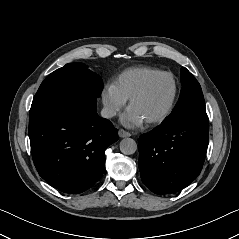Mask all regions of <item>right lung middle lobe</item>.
Wrapping results in <instances>:
<instances>
[{"label":"right lung middle lobe","instance_id":"obj_1","mask_svg":"<svg viewBox=\"0 0 239 239\" xmlns=\"http://www.w3.org/2000/svg\"><path fill=\"white\" fill-rule=\"evenodd\" d=\"M103 89L99 75L82 63H69L51 73L40 85L34 96L31 109L49 98L70 91H84L98 97Z\"/></svg>","mask_w":239,"mask_h":239}]
</instances>
